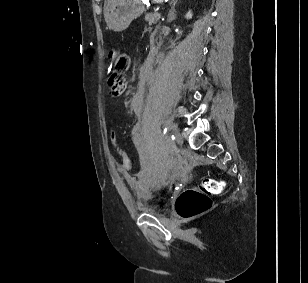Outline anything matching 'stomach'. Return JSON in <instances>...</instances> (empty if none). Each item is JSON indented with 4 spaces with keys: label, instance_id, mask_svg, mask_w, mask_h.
<instances>
[{
    "label": "stomach",
    "instance_id": "1",
    "mask_svg": "<svg viewBox=\"0 0 308 283\" xmlns=\"http://www.w3.org/2000/svg\"><path fill=\"white\" fill-rule=\"evenodd\" d=\"M162 3L164 0H152ZM145 11L141 0H114L106 6L104 18L108 28L115 32L127 29L130 23Z\"/></svg>",
    "mask_w": 308,
    "mask_h": 283
}]
</instances>
